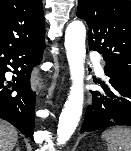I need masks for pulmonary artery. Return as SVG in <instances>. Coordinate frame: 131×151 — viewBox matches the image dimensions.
<instances>
[{
    "label": "pulmonary artery",
    "instance_id": "obj_1",
    "mask_svg": "<svg viewBox=\"0 0 131 151\" xmlns=\"http://www.w3.org/2000/svg\"><path fill=\"white\" fill-rule=\"evenodd\" d=\"M95 71L100 76L104 74L102 66L97 61L95 62Z\"/></svg>",
    "mask_w": 131,
    "mask_h": 151
}]
</instances>
